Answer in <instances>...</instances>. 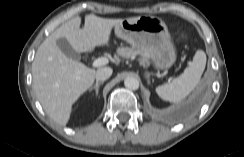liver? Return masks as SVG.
I'll use <instances>...</instances> for the list:
<instances>
[{
    "mask_svg": "<svg viewBox=\"0 0 244 157\" xmlns=\"http://www.w3.org/2000/svg\"><path fill=\"white\" fill-rule=\"evenodd\" d=\"M123 19H107L94 14L74 17L57 28L39 46L32 63L33 89L46 114L65 126L72 106L94 83L96 71L67 57L57 46L65 38L76 52L85 53L99 46H108L113 27Z\"/></svg>",
    "mask_w": 244,
    "mask_h": 157,
    "instance_id": "6515ba94",
    "label": "liver"
}]
</instances>
